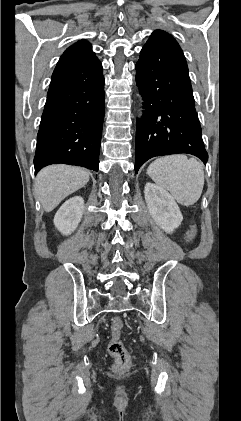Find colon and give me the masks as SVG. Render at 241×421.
I'll use <instances>...</instances> for the list:
<instances>
[{
	"label": "colon",
	"instance_id": "colon-1",
	"mask_svg": "<svg viewBox=\"0 0 241 421\" xmlns=\"http://www.w3.org/2000/svg\"><path fill=\"white\" fill-rule=\"evenodd\" d=\"M196 227L189 231L186 241L191 242L196 236ZM124 326L123 319L116 317L111 322V339L108 344V352L114 358L113 368L117 372L124 371L130 365V355L121 340V332Z\"/></svg>",
	"mask_w": 241,
	"mask_h": 421
}]
</instances>
